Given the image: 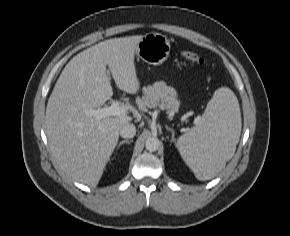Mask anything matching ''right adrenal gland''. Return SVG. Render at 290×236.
Here are the masks:
<instances>
[{"instance_id": "obj_1", "label": "right adrenal gland", "mask_w": 290, "mask_h": 236, "mask_svg": "<svg viewBox=\"0 0 290 236\" xmlns=\"http://www.w3.org/2000/svg\"><path fill=\"white\" fill-rule=\"evenodd\" d=\"M131 142H133V140H128V139L123 140L117 145V149H119L123 144L125 143L130 144Z\"/></svg>"}]
</instances>
